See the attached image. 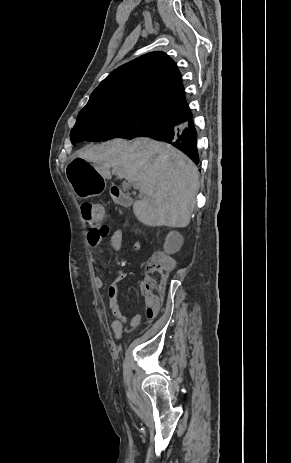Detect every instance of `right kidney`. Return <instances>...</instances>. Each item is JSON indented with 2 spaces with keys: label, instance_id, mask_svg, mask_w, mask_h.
Returning <instances> with one entry per match:
<instances>
[{
  "label": "right kidney",
  "instance_id": "obj_1",
  "mask_svg": "<svg viewBox=\"0 0 291 463\" xmlns=\"http://www.w3.org/2000/svg\"><path fill=\"white\" fill-rule=\"evenodd\" d=\"M183 241V236L179 232L172 231L166 237L164 249L169 254L174 253L181 248Z\"/></svg>",
  "mask_w": 291,
  "mask_h": 463
}]
</instances>
